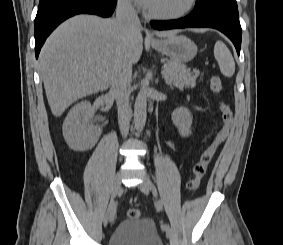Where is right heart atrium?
Returning <instances> with one entry per match:
<instances>
[{"label":"right heart atrium","instance_id":"d8ad5b80","mask_svg":"<svg viewBox=\"0 0 283 245\" xmlns=\"http://www.w3.org/2000/svg\"><path fill=\"white\" fill-rule=\"evenodd\" d=\"M118 2L125 8L132 7V0H118Z\"/></svg>","mask_w":283,"mask_h":245}]
</instances>
